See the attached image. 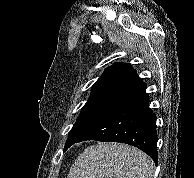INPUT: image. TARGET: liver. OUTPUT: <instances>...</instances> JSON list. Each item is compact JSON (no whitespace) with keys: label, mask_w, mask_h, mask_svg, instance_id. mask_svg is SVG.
<instances>
[{"label":"liver","mask_w":194,"mask_h":178,"mask_svg":"<svg viewBox=\"0 0 194 178\" xmlns=\"http://www.w3.org/2000/svg\"><path fill=\"white\" fill-rule=\"evenodd\" d=\"M154 163L139 149L121 143H100L79 154L67 178H153Z\"/></svg>","instance_id":"liver-1"}]
</instances>
